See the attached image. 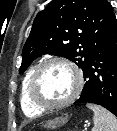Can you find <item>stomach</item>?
<instances>
[{
	"label": "stomach",
	"mask_w": 117,
	"mask_h": 131,
	"mask_svg": "<svg viewBox=\"0 0 117 131\" xmlns=\"http://www.w3.org/2000/svg\"><path fill=\"white\" fill-rule=\"evenodd\" d=\"M68 120V116L66 115L65 117H59L55 118L52 120H48L45 124L44 127L48 129H55L56 127H59L63 124H65Z\"/></svg>",
	"instance_id": "1"
}]
</instances>
